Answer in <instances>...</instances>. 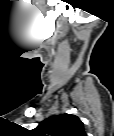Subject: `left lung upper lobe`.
<instances>
[{
  "label": "left lung upper lobe",
  "mask_w": 114,
  "mask_h": 136,
  "mask_svg": "<svg viewBox=\"0 0 114 136\" xmlns=\"http://www.w3.org/2000/svg\"><path fill=\"white\" fill-rule=\"evenodd\" d=\"M37 136H84V126L79 117L72 114L52 116L42 121L34 130Z\"/></svg>",
  "instance_id": "5c2ea615"
}]
</instances>
